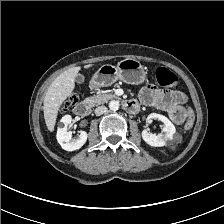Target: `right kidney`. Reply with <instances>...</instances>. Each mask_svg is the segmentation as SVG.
Masks as SVG:
<instances>
[{
	"label": "right kidney",
	"instance_id": "ca27d5eb",
	"mask_svg": "<svg viewBox=\"0 0 224 224\" xmlns=\"http://www.w3.org/2000/svg\"><path fill=\"white\" fill-rule=\"evenodd\" d=\"M61 122L64 124L63 128L57 130V141L61 147L66 151H74L80 149L87 141V133L81 131L77 139H72V132L67 131V126L71 124L72 117L65 115L62 117Z\"/></svg>",
	"mask_w": 224,
	"mask_h": 224
}]
</instances>
